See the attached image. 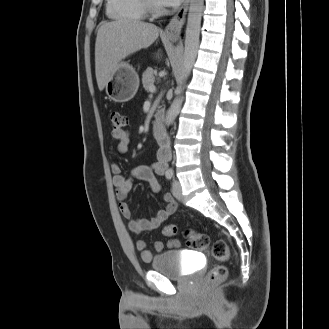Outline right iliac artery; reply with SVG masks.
<instances>
[{"label":"right iliac artery","instance_id":"right-iliac-artery-1","mask_svg":"<svg viewBox=\"0 0 329 329\" xmlns=\"http://www.w3.org/2000/svg\"><path fill=\"white\" fill-rule=\"evenodd\" d=\"M165 176L168 180H170L173 177V172L172 171H167Z\"/></svg>","mask_w":329,"mask_h":329}]
</instances>
